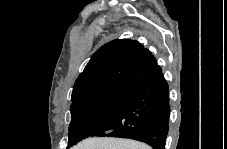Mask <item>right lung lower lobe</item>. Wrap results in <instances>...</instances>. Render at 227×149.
Segmentation results:
<instances>
[{
	"instance_id": "obj_1",
	"label": "right lung lower lobe",
	"mask_w": 227,
	"mask_h": 149,
	"mask_svg": "<svg viewBox=\"0 0 227 149\" xmlns=\"http://www.w3.org/2000/svg\"><path fill=\"white\" fill-rule=\"evenodd\" d=\"M169 91L162 72L137 85L123 105L89 137H121L164 149L169 124Z\"/></svg>"
}]
</instances>
